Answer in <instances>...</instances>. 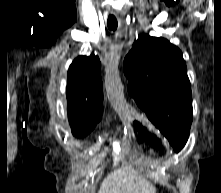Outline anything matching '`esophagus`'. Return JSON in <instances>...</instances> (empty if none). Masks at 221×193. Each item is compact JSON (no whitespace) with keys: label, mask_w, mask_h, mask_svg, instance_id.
I'll return each instance as SVG.
<instances>
[{"label":"esophagus","mask_w":221,"mask_h":193,"mask_svg":"<svg viewBox=\"0 0 221 193\" xmlns=\"http://www.w3.org/2000/svg\"><path fill=\"white\" fill-rule=\"evenodd\" d=\"M117 16L119 17L121 23L124 24V18H123V16H122V15H118V14H117Z\"/></svg>","instance_id":"34e87169"}]
</instances>
